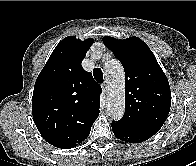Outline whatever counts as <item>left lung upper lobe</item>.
Here are the masks:
<instances>
[{"instance_id": "left-lung-upper-lobe-1", "label": "left lung upper lobe", "mask_w": 196, "mask_h": 166, "mask_svg": "<svg viewBox=\"0 0 196 166\" xmlns=\"http://www.w3.org/2000/svg\"><path fill=\"white\" fill-rule=\"evenodd\" d=\"M103 43L125 70V113L119 122L146 136L155 135L167 119L171 91L167 77L150 48L138 37L117 40L106 36Z\"/></svg>"}]
</instances>
